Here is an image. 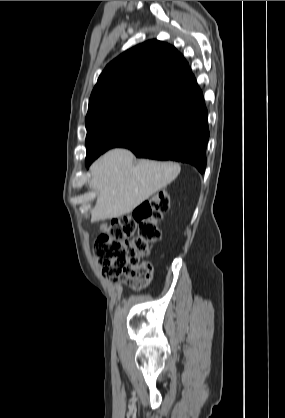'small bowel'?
Returning <instances> with one entry per match:
<instances>
[{
  "mask_svg": "<svg viewBox=\"0 0 285 418\" xmlns=\"http://www.w3.org/2000/svg\"><path fill=\"white\" fill-rule=\"evenodd\" d=\"M95 262L100 266V261L98 258H95ZM144 272L142 274H138L131 270L128 274L123 276V282L129 288H136L148 285L154 276V271L152 266L149 263H144Z\"/></svg>",
  "mask_w": 285,
  "mask_h": 418,
  "instance_id": "c3829d8e",
  "label": "small bowel"
}]
</instances>
